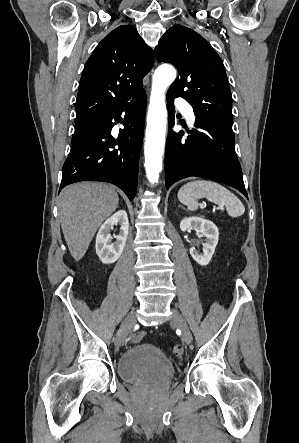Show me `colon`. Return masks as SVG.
<instances>
[{
  "label": "colon",
  "instance_id": "5ec220e1",
  "mask_svg": "<svg viewBox=\"0 0 299 443\" xmlns=\"http://www.w3.org/2000/svg\"><path fill=\"white\" fill-rule=\"evenodd\" d=\"M172 352H173V355H174L175 357L180 358V357H182L183 354H184V348H183L182 345H180V344H176V345L173 347Z\"/></svg>",
  "mask_w": 299,
  "mask_h": 443
}]
</instances>
